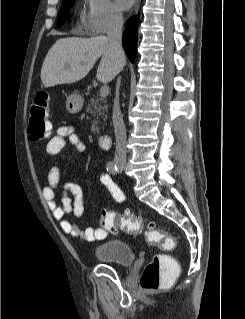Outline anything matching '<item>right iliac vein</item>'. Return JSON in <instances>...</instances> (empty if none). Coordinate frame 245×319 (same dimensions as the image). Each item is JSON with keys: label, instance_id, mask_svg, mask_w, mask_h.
<instances>
[{"label": "right iliac vein", "instance_id": "obj_1", "mask_svg": "<svg viewBox=\"0 0 245 319\" xmlns=\"http://www.w3.org/2000/svg\"><path fill=\"white\" fill-rule=\"evenodd\" d=\"M117 166L120 171H125L126 170V164L124 162H118Z\"/></svg>", "mask_w": 245, "mask_h": 319}]
</instances>
